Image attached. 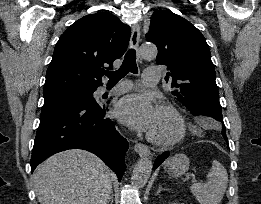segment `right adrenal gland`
Here are the masks:
<instances>
[{"instance_id":"right-adrenal-gland-1","label":"right adrenal gland","mask_w":261,"mask_h":204,"mask_svg":"<svg viewBox=\"0 0 261 204\" xmlns=\"http://www.w3.org/2000/svg\"><path fill=\"white\" fill-rule=\"evenodd\" d=\"M109 201H111V204L113 203V195H110Z\"/></svg>"}]
</instances>
